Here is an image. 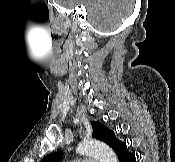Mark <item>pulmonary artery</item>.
<instances>
[{"label":"pulmonary artery","mask_w":175,"mask_h":162,"mask_svg":"<svg viewBox=\"0 0 175 162\" xmlns=\"http://www.w3.org/2000/svg\"><path fill=\"white\" fill-rule=\"evenodd\" d=\"M73 162H98V160L93 158H85V159L74 160Z\"/></svg>","instance_id":"obj_1"}]
</instances>
